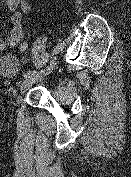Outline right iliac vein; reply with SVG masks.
<instances>
[{
	"label": "right iliac vein",
	"instance_id": "obj_1",
	"mask_svg": "<svg viewBox=\"0 0 131 177\" xmlns=\"http://www.w3.org/2000/svg\"><path fill=\"white\" fill-rule=\"evenodd\" d=\"M51 67L46 70L45 73H40V72H36L32 75H29L25 78V80L23 81L21 87H20V94H23L25 91H27L34 83L40 81L43 79V77H45L46 75H48L49 73H51V71L53 70L54 66H55V59H52L51 62Z\"/></svg>",
	"mask_w": 131,
	"mask_h": 177
}]
</instances>
